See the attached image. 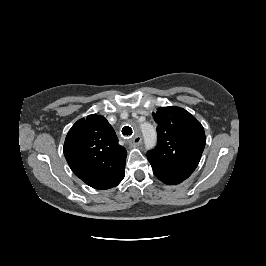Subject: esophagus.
I'll use <instances>...</instances> for the list:
<instances>
[{
	"label": "esophagus",
	"mask_w": 266,
	"mask_h": 266,
	"mask_svg": "<svg viewBox=\"0 0 266 266\" xmlns=\"http://www.w3.org/2000/svg\"><path fill=\"white\" fill-rule=\"evenodd\" d=\"M141 142H142V137L140 135H136L132 139V143L135 144V145H140Z\"/></svg>",
	"instance_id": "34e87169"
}]
</instances>
